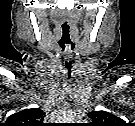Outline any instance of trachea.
Here are the masks:
<instances>
[{
    "label": "trachea",
    "mask_w": 135,
    "mask_h": 126,
    "mask_svg": "<svg viewBox=\"0 0 135 126\" xmlns=\"http://www.w3.org/2000/svg\"><path fill=\"white\" fill-rule=\"evenodd\" d=\"M66 68H67V71H68V77H71L72 63L71 62H66Z\"/></svg>",
    "instance_id": "3493384b"
}]
</instances>
